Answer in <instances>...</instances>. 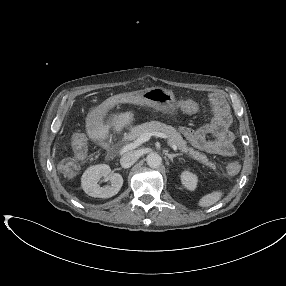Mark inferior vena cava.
<instances>
[{
    "mask_svg": "<svg viewBox=\"0 0 286 286\" xmlns=\"http://www.w3.org/2000/svg\"><path fill=\"white\" fill-rule=\"evenodd\" d=\"M138 158L139 156L136 151H129L121 157L120 164L123 168H129L137 161Z\"/></svg>",
    "mask_w": 286,
    "mask_h": 286,
    "instance_id": "602c4592",
    "label": "inferior vena cava"
}]
</instances>
